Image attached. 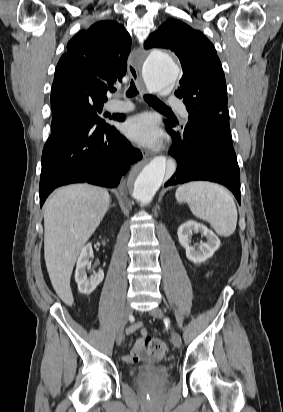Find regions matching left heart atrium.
<instances>
[{
	"label": "left heart atrium",
	"mask_w": 283,
	"mask_h": 412,
	"mask_svg": "<svg viewBox=\"0 0 283 412\" xmlns=\"http://www.w3.org/2000/svg\"><path fill=\"white\" fill-rule=\"evenodd\" d=\"M124 134L133 142L144 147L158 146L163 132L154 116L143 113L130 118L123 127Z\"/></svg>",
	"instance_id": "1"
}]
</instances>
